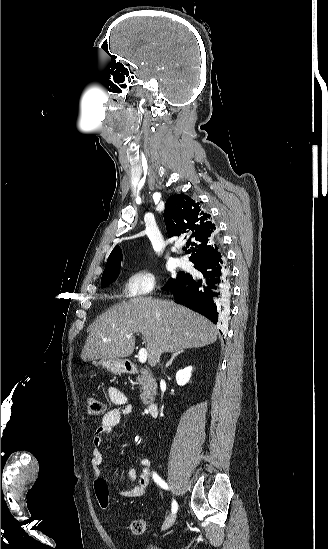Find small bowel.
I'll use <instances>...</instances> for the list:
<instances>
[{
  "mask_svg": "<svg viewBox=\"0 0 328 549\" xmlns=\"http://www.w3.org/2000/svg\"><path fill=\"white\" fill-rule=\"evenodd\" d=\"M108 396L110 401L114 404V407L110 408L102 417L100 425L95 429L92 438V452H91V467L96 477H100L102 463L101 445L103 443L104 435H110L113 433L115 427L121 422V420L132 413L133 407L128 403L126 395L116 387H109ZM139 464L142 466V470L137 478L136 470L129 468L120 481L133 482L135 484L132 488L123 491L128 497H142L146 494L151 479L153 477L152 464L148 458H140Z\"/></svg>",
  "mask_w": 328,
  "mask_h": 549,
  "instance_id": "obj_1",
  "label": "small bowel"
}]
</instances>
